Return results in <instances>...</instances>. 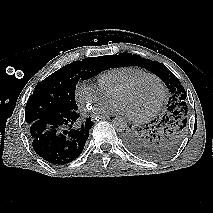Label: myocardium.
<instances>
[{
    "instance_id": "obj_1",
    "label": "myocardium",
    "mask_w": 213,
    "mask_h": 213,
    "mask_svg": "<svg viewBox=\"0 0 213 213\" xmlns=\"http://www.w3.org/2000/svg\"><path fill=\"white\" fill-rule=\"evenodd\" d=\"M147 78L155 79L159 83L160 89H161V97H160V100L158 101V103L156 104V106L153 109H151L150 111H148L147 113L142 114V115H129L130 119H132L133 121L148 120L159 112V110L161 109V107L166 99V95H167L166 86H165L163 80L159 76H157L153 73L143 74V75L135 77L134 79H132L129 82L125 83L124 85L120 86L112 94V98L114 99L117 94L133 88L138 83H140L141 81H143Z\"/></svg>"
}]
</instances>
